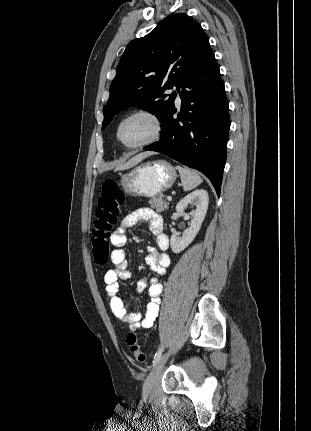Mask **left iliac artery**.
I'll return each instance as SVG.
<instances>
[{"label":"left iliac artery","instance_id":"obj_1","mask_svg":"<svg viewBox=\"0 0 311 431\" xmlns=\"http://www.w3.org/2000/svg\"><path fill=\"white\" fill-rule=\"evenodd\" d=\"M162 351H163V348H162V347H160V348L157 350V352H156V354H155V356H154V360H153V364H154V365H155V364L157 363V361L160 359L161 354H162Z\"/></svg>","mask_w":311,"mask_h":431}]
</instances>
